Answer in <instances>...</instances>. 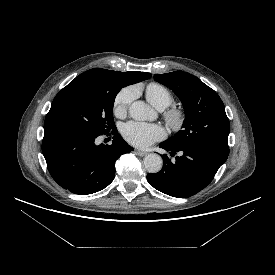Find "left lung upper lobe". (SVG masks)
I'll return each mask as SVG.
<instances>
[{
  "instance_id": "obj_1",
  "label": "left lung upper lobe",
  "mask_w": 275,
  "mask_h": 275,
  "mask_svg": "<svg viewBox=\"0 0 275 275\" xmlns=\"http://www.w3.org/2000/svg\"><path fill=\"white\" fill-rule=\"evenodd\" d=\"M154 79L172 89L185 109L182 130L164 142L228 155L230 125L218 94L194 75L183 71L155 74Z\"/></svg>"
}]
</instances>
